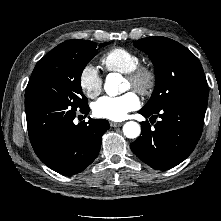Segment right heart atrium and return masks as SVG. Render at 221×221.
<instances>
[{
    "mask_svg": "<svg viewBox=\"0 0 221 221\" xmlns=\"http://www.w3.org/2000/svg\"><path fill=\"white\" fill-rule=\"evenodd\" d=\"M81 91L88 98L97 97L102 91V78L93 64H87L80 72L78 79Z\"/></svg>",
    "mask_w": 221,
    "mask_h": 221,
    "instance_id": "right-heart-atrium-1",
    "label": "right heart atrium"
}]
</instances>
